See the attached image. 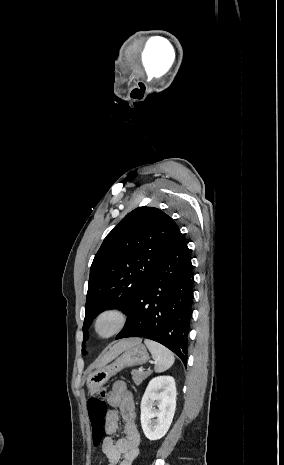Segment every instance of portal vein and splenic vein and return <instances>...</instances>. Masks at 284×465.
Returning a JSON list of instances; mask_svg holds the SVG:
<instances>
[{"label":"portal vein and splenic vein","mask_w":284,"mask_h":465,"mask_svg":"<svg viewBox=\"0 0 284 465\" xmlns=\"http://www.w3.org/2000/svg\"><path fill=\"white\" fill-rule=\"evenodd\" d=\"M139 371H143V369H139Z\"/></svg>","instance_id":"obj_1"}]
</instances>
